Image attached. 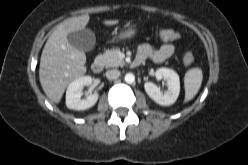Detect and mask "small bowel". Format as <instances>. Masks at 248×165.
Listing matches in <instances>:
<instances>
[{
  "instance_id": "c3829d8e",
  "label": "small bowel",
  "mask_w": 248,
  "mask_h": 165,
  "mask_svg": "<svg viewBox=\"0 0 248 165\" xmlns=\"http://www.w3.org/2000/svg\"><path fill=\"white\" fill-rule=\"evenodd\" d=\"M174 53L175 45L172 43H164L156 50L145 43L139 46L137 56L142 57L144 60L150 59L154 63H161L169 59Z\"/></svg>"
}]
</instances>
